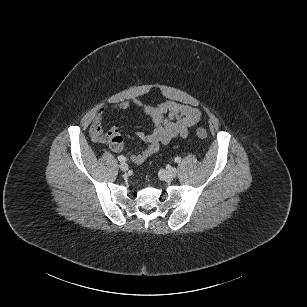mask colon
Returning <instances> with one entry per match:
<instances>
[{"mask_svg": "<svg viewBox=\"0 0 307 307\" xmlns=\"http://www.w3.org/2000/svg\"><path fill=\"white\" fill-rule=\"evenodd\" d=\"M196 134L200 139H206L208 137V132L203 127H198ZM108 143L114 151H121L123 149V138L118 132L109 133Z\"/></svg>", "mask_w": 307, "mask_h": 307, "instance_id": "colon-1", "label": "colon"}]
</instances>
